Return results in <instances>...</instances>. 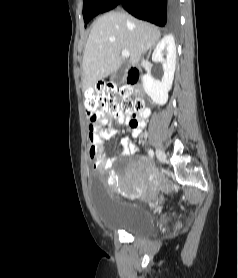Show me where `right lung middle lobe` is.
I'll use <instances>...</instances> for the list:
<instances>
[{
    "instance_id": "1",
    "label": "right lung middle lobe",
    "mask_w": 238,
    "mask_h": 278,
    "mask_svg": "<svg viewBox=\"0 0 238 278\" xmlns=\"http://www.w3.org/2000/svg\"><path fill=\"white\" fill-rule=\"evenodd\" d=\"M104 0H84L83 17L85 26L94 17L95 12Z\"/></svg>"
}]
</instances>
